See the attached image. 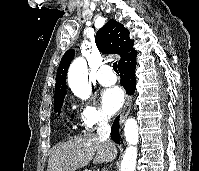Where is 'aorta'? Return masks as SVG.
<instances>
[{
  "label": "aorta",
  "instance_id": "obj_1",
  "mask_svg": "<svg viewBox=\"0 0 199 171\" xmlns=\"http://www.w3.org/2000/svg\"><path fill=\"white\" fill-rule=\"evenodd\" d=\"M68 84L72 92L81 99L89 98L91 85L88 83V68L84 58L75 59L68 71ZM125 138L129 146L126 148L120 171H135L137 159L138 124L129 118L124 127Z\"/></svg>",
  "mask_w": 199,
  "mask_h": 171
}]
</instances>
